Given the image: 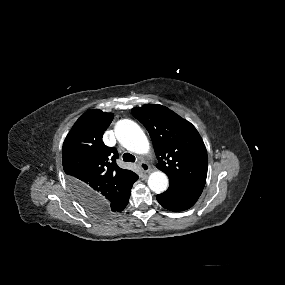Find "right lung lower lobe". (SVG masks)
<instances>
[{
	"label": "right lung lower lobe",
	"mask_w": 285,
	"mask_h": 285,
	"mask_svg": "<svg viewBox=\"0 0 285 285\" xmlns=\"http://www.w3.org/2000/svg\"><path fill=\"white\" fill-rule=\"evenodd\" d=\"M131 188L126 192V194L119 201L115 202L114 204H111L110 208L107 209L103 202H98L96 206L107 209L108 211L111 212V214L119 213L123 211L129 202Z\"/></svg>",
	"instance_id": "98d812e1"
}]
</instances>
